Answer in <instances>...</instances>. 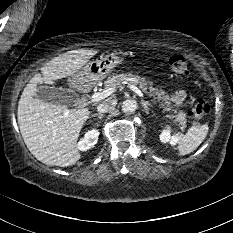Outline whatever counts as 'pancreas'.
<instances>
[{
    "label": "pancreas",
    "mask_w": 233,
    "mask_h": 233,
    "mask_svg": "<svg viewBox=\"0 0 233 233\" xmlns=\"http://www.w3.org/2000/svg\"><path fill=\"white\" fill-rule=\"evenodd\" d=\"M127 81H129L130 84L138 85L149 97H153L154 103L161 101L159 106L163 108L164 111H172L175 114L174 116H169V118H174V123H178L182 130L186 128V114L178 107V102H175L173 96H170L164 90L152 87V82L146 80L145 77L132 75L131 73L115 74L112 77H109L105 82V88H119Z\"/></svg>",
    "instance_id": "obj_1"
}]
</instances>
